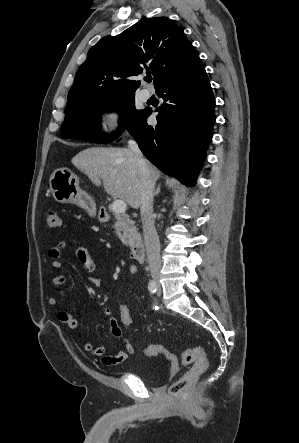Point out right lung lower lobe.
<instances>
[{
  "label": "right lung lower lobe",
  "mask_w": 299,
  "mask_h": 443,
  "mask_svg": "<svg viewBox=\"0 0 299 443\" xmlns=\"http://www.w3.org/2000/svg\"><path fill=\"white\" fill-rule=\"evenodd\" d=\"M156 93L164 100L156 110L158 124H147L152 110L144 109L127 129L162 172L194 185L215 122V99L204 67L162 84Z\"/></svg>",
  "instance_id": "right-lung-lower-lobe-1"
}]
</instances>
